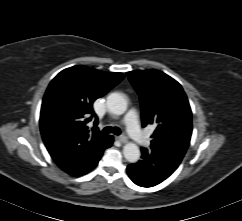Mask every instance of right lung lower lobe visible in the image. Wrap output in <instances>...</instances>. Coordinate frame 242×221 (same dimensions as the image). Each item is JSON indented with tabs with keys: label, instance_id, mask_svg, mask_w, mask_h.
<instances>
[{
	"label": "right lung lower lobe",
	"instance_id": "98d812e1",
	"mask_svg": "<svg viewBox=\"0 0 242 221\" xmlns=\"http://www.w3.org/2000/svg\"><path fill=\"white\" fill-rule=\"evenodd\" d=\"M113 143V137L108 136L103 145L99 147L96 151L90 152L88 155V162L85 166H83L81 169L78 170H73L72 168H61L64 170L66 173L73 175V176H79V175H84L91 171L97 164L100 158L102 157L103 151L106 148H109Z\"/></svg>",
	"mask_w": 242,
	"mask_h": 221
}]
</instances>
